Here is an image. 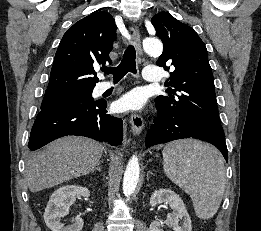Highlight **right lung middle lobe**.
Returning <instances> with one entry per match:
<instances>
[{
    "label": "right lung middle lobe",
    "mask_w": 261,
    "mask_h": 231,
    "mask_svg": "<svg viewBox=\"0 0 261 231\" xmlns=\"http://www.w3.org/2000/svg\"><path fill=\"white\" fill-rule=\"evenodd\" d=\"M92 91L93 89L45 92L41 104V111L68 104L93 102Z\"/></svg>",
    "instance_id": "1"
}]
</instances>
